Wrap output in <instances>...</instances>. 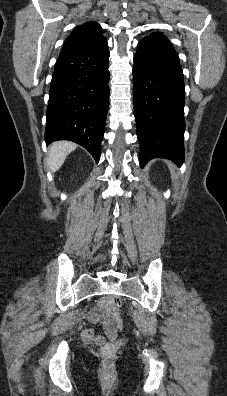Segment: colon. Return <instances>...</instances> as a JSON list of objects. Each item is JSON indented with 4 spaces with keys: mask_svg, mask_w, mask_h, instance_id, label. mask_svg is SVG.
I'll list each match as a JSON object with an SVG mask.
<instances>
[{
    "mask_svg": "<svg viewBox=\"0 0 227 396\" xmlns=\"http://www.w3.org/2000/svg\"><path fill=\"white\" fill-rule=\"evenodd\" d=\"M112 309L114 311H118L122 305H123V300L121 297L116 296L112 299ZM124 344V339L123 338H119L115 341L106 343L103 347H102V354L104 357H106L107 359H110L113 357V355L115 354V352L118 350V348L120 346H122Z\"/></svg>",
    "mask_w": 227,
    "mask_h": 396,
    "instance_id": "colon-1",
    "label": "colon"
}]
</instances>
